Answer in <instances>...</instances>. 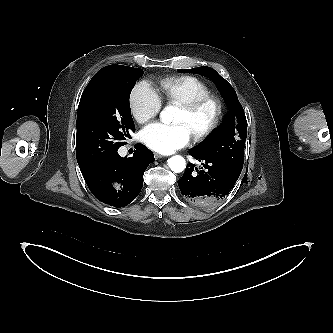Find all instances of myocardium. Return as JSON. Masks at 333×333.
<instances>
[{
  "label": "myocardium",
  "instance_id": "1",
  "mask_svg": "<svg viewBox=\"0 0 333 333\" xmlns=\"http://www.w3.org/2000/svg\"><path fill=\"white\" fill-rule=\"evenodd\" d=\"M209 104H213L215 106V116L211 123L204 130L192 134L193 140L195 142L204 141L219 128L225 115V104L222 98L218 95L208 94L179 106L185 114L188 116H193Z\"/></svg>",
  "mask_w": 333,
  "mask_h": 333
}]
</instances>
